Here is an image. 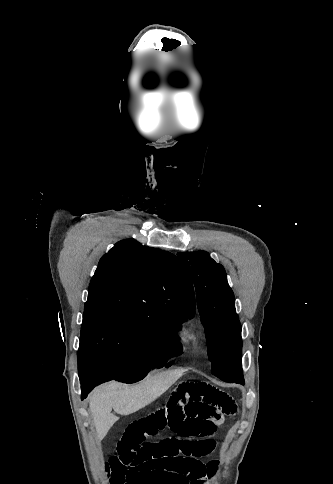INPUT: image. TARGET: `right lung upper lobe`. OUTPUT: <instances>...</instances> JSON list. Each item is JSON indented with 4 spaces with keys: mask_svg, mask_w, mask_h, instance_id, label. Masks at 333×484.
<instances>
[{
    "mask_svg": "<svg viewBox=\"0 0 333 484\" xmlns=\"http://www.w3.org/2000/svg\"><path fill=\"white\" fill-rule=\"evenodd\" d=\"M94 309L191 318L195 310L192 281L175 255L122 240L100 259L90 281L85 310Z\"/></svg>",
    "mask_w": 333,
    "mask_h": 484,
    "instance_id": "right-lung-upper-lobe-1",
    "label": "right lung upper lobe"
}]
</instances>
